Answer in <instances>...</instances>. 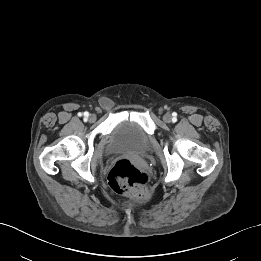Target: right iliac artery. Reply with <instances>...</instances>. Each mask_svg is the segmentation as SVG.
<instances>
[{
    "label": "right iliac artery",
    "mask_w": 261,
    "mask_h": 261,
    "mask_svg": "<svg viewBox=\"0 0 261 261\" xmlns=\"http://www.w3.org/2000/svg\"><path fill=\"white\" fill-rule=\"evenodd\" d=\"M84 116L87 118L89 116L88 112H84Z\"/></svg>",
    "instance_id": "82829eb1"
}]
</instances>
